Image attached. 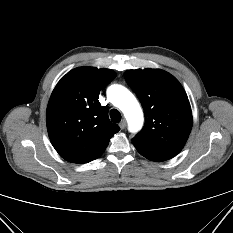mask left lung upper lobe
<instances>
[{
    "label": "left lung upper lobe",
    "instance_id": "1",
    "mask_svg": "<svg viewBox=\"0 0 233 233\" xmlns=\"http://www.w3.org/2000/svg\"><path fill=\"white\" fill-rule=\"evenodd\" d=\"M139 97L145 114L143 129L132 143L151 149L180 151L190 134L193 118L186 92L163 70L137 69L124 73Z\"/></svg>",
    "mask_w": 233,
    "mask_h": 233
}]
</instances>
